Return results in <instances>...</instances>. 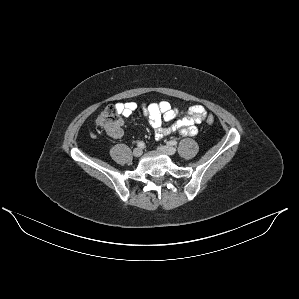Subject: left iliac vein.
Segmentation results:
<instances>
[{"label": "left iliac vein", "mask_w": 299, "mask_h": 299, "mask_svg": "<svg viewBox=\"0 0 299 299\" xmlns=\"http://www.w3.org/2000/svg\"><path fill=\"white\" fill-rule=\"evenodd\" d=\"M158 150L162 153H165L167 155H174L176 153V149L174 147L171 146H159Z\"/></svg>", "instance_id": "1"}]
</instances>
